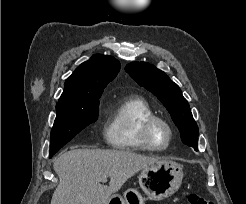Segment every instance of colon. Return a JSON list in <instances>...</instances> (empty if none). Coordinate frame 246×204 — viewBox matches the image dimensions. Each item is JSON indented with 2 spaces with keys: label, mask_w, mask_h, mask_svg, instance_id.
<instances>
[{
  "label": "colon",
  "mask_w": 246,
  "mask_h": 204,
  "mask_svg": "<svg viewBox=\"0 0 246 204\" xmlns=\"http://www.w3.org/2000/svg\"><path fill=\"white\" fill-rule=\"evenodd\" d=\"M185 196L189 204H213L212 201L196 192L188 191Z\"/></svg>",
  "instance_id": "colon-1"
}]
</instances>
